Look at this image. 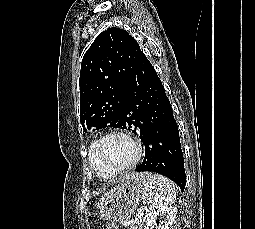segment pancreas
Segmentation results:
<instances>
[{"mask_svg": "<svg viewBox=\"0 0 255 229\" xmlns=\"http://www.w3.org/2000/svg\"><path fill=\"white\" fill-rule=\"evenodd\" d=\"M142 228H143V216L137 213L127 229H142Z\"/></svg>", "mask_w": 255, "mask_h": 229, "instance_id": "cf45deb5", "label": "pancreas"}]
</instances>
